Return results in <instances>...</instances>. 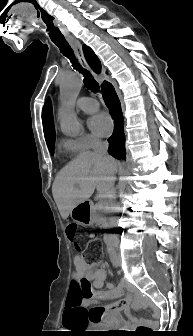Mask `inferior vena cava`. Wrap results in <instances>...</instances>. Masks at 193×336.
<instances>
[{"mask_svg":"<svg viewBox=\"0 0 193 336\" xmlns=\"http://www.w3.org/2000/svg\"><path fill=\"white\" fill-rule=\"evenodd\" d=\"M93 150H94V153L100 155V156H103L102 157V160L104 162H106L107 164H109L111 161L109 160L110 159V156L108 155V142H102L101 140L99 139H95L94 142H93ZM118 165L115 163H110L108 165V168L110 170H113L114 168H116ZM117 175V172L116 171H113L111 173V175L109 176L108 178V185H109V188H110V192H109V197L112 199V200H115L116 199V196H115V189H114V181H115V176ZM115 204V202H114Z\"/></svg>","mask_w":193,"mask_h":336,"instance_id":"obj_1","label":"inferior vena cava"}]
</instances>
